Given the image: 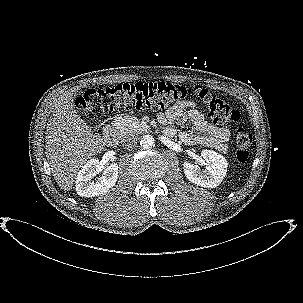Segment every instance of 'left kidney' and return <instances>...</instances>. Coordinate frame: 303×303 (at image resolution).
<instances>
[{
  "label": "left kidney",
  "instance_id": "5707ae66",
  "mask_svg": "<svg viewBox=\"0 0 303 303\" xmlns=\"http://www.w3.org/2000/svg\"><path fill=\"white\" fill-rule=\"evenodd\" d=\"M201 157L208 163L202 172L198 165L184 162V173L189 181L201 187L216 188L226 176L228 163L221 154L212 150H203Z\"/></svg>",
  "mask_w": 303,
  "mask_h": 303
}]
</instances>
